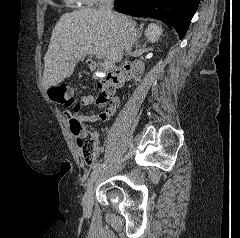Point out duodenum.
Returning <instances> with one entry per match:
<instances>
[{"label":"duodenum","mask_w":240,"mask_h":238,"mask_svg":"<svg viewBox=\"0 0 240 238\" xmlns=\"http://www.w3.org/2000/svg\"><path fill=\"white\" fill-rule=\"evenodd\" d=\"M88 63H89L91 68H95L96 67V64H95L94 61H89ZM128 66H129V64H125L122 68H125V67H128Z\"/></svg>","instance_id":"1"}]
</instances>
